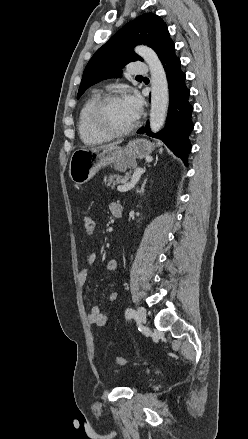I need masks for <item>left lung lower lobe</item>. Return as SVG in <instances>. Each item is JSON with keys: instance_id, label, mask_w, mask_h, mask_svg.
<instances>
[{"instance_id": "0a47b994", "label": "left lung lower lobe", "mask_w": 248, "mask_h": 439, "mask_svg": "<svg viewBox=\"0 0 248 439\" xmlns=\"http://www.w3.org/2000/svg\"><path fill=\"white\" fill-rule=\"evenodd\" d=\"M160 60L166 71L169 86V108L163 131L153 134L149 128H140L137 133L162 140L167 147L187 165V154L191 151L189 135L193 130L191 114L193 106L189 102L190 90L186 87V75L180 68V59L175 55V45L171 43L163 51Z\"/></svg>"}]
</instances>
